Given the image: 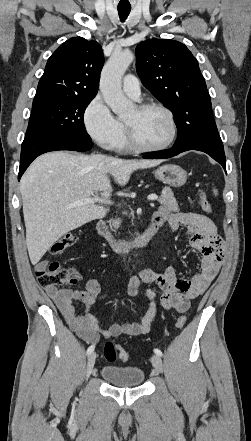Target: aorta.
<instances>
[{
    "label": "aorta",
    "instance_id": "obj_1",
    "mask_svg": "<svg viewBox=\"0 0 251 441\" xmlns=\"http://www.w3.org/2000/svg\"><path fill=\"white\" fill-rule=\"evenodd\" d=\"M133 59V53L128 50L113 53L101 73L100 91L106 104L119 117L127 115L133 107L121 88L122 76Z\"/></svg>",
    "mask_w": 251,
    "mask_h": 441
}]
</instances>
